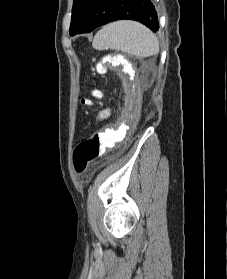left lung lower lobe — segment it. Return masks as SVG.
I'll return each mask as SVG.
<instances>
[{"label": "left lung lower lobe", "mask_w": 227, "mask_h": 279, "mask_svg": "<svg viewBox=\"0 0 227 279\" xmlns=\"http://www.w3.org/2000/svg\"><path fill=\"white\" fill-rule=\"evenodd\" d=\"M120 19L139 21L154 32L159 28L157 13L150 0H93L82 27L73 35L89 33Z\"/></svg>", "instance_id": "left-lung-lower-lobe-1"}]
</instances>
